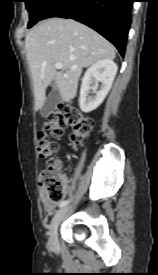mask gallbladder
Wrapping results in <instances>:
<instances>
[{
    "instance_id": "bac80fb5",
    "label": "gallbladder",
    "mask_w": 158,
    "mask_h": 275,
    "mask_svg": "<svg viewBox=\"0 0 158 275\" xmlns=\"http://www.w3.org/2000/svg\"><path fill=\"white\" fill-rule=\"evenodd\" d=\"M63 101L62 96L59 92V89L53 85V89L50 94L45 99V102L41 108V115L43 117H48L51 113H53L57 106Z\"/></svg>"
}]
</instances>
